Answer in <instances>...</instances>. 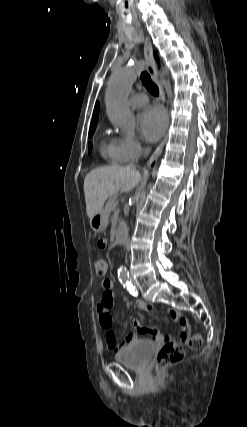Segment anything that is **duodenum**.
Wrapping results in <instances>:
<instances>
[{
    "mask_svg": "<svg viewBox=\"0 0 247 427\" xmlns=\"http://www.w3.org/2000/svg\"><path fill=\"white\" fill-rule=\"evenodd\" d=\"M126 230H127L126 225L124 223H120L115 233V240L118 244L124 243Z\"/></svg>",
    "mask_w": 247,
    "mask_h": 427,
    "instance_id": "410a0bca",
    "label": "duodenum"
}]
</instances>
